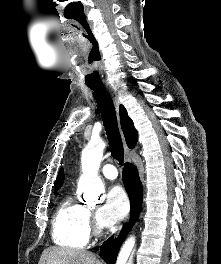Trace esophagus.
<instances>
[{"mask_svg": "<svg viewBox=\"0 0 221 264\" xmlns=\"http://www.w3.org/2000/svg\"><path fill=\"white\" fill-rule=\"evenodd\" d=\"M105 88L108 91V93L110 94L116 109H118V107H119V98H118V95H117L116 91L113 90V88L109 84H106ZM128 152H129V149L127 148V146H125V154H126L125 155V160L127 162H130V157L128 155Z\"/></svg>", "mask_w": 221, "mask_h": 264, "instance_id": "34e87169", "label": "esophagus"}]
</instances>
